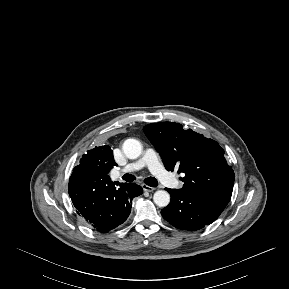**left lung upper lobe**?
<instances>
[{
    "instance_id": "obj_1",
    "label": "left lung upper lobe",
    "mask_w": 289,
    "mask_h": 289,
    "mask_svg": "<svg viewBox=\"0 0 289 289\" xmlns=\"http://www.w3.org/2000/svg\"><path fill=\"white\" fill-rule=\"evenodd\" d=\"M143 131L160 153L166 169L185 174L180 178L184 185L179 190L226 207L235 176L216 141L173 122L148 124Z\"/></svg>"
}]
</instances>
